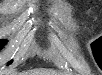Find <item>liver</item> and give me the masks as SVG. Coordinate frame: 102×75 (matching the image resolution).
<instances>
[{"label": "liver", "mask_w": 102, "mask_h": 75, "mask_svg": "<svg viewBox=\"0 0 102 75\" xmlns=\"http://www.w3.org/2000/svg\"><path fill=\"white\" fill-rule=\"evenodd\" d=\"M10 74H18V72H10ZM21 74H24V75H56L58 74V72L52 69H48V68H37V69L29 70L26 72H22Z\"/></svg>", "instance_id": "obj_1"}]
</instances>
